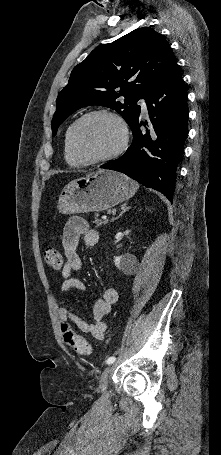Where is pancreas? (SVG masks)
<instances>
[{
  "label": "pancreas",
  "instance_id": "cf45deb5",
  "mask_svg": "<svg viewBox=\"0 0 221 455\" xmlns=\"http://www.w3.org/2000/svg\"><path fill=\"white\" fill-rule=\"evenodd\" d=\"M96 225L98 226H102V225H105L106 224V221H102L101 219L95 217L94 218V221H93Z\"/></svg>",
  "mask_w": 221,
  "mask_h": 455
}]
</instances>
